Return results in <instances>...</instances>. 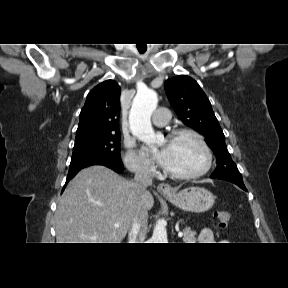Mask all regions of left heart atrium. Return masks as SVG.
Here are the masks:
<instances>
[{"mask_svg":"<svg viewBox=\"0 0 288 288\" xmlns=\"http://www.w3.org/2000/svg\"><path fill=\"white\" fill-rule=\"evenodd\" d=\"M154 157L157 159V161L160 164L163 165L166 161V158H167V149H161L160 151L155 152Z\"/></svg>","mask_w":288,"mask_h":288,"instance_id":"left-heart-atrium-1","label":"left heart atrium"}]
</instances>
